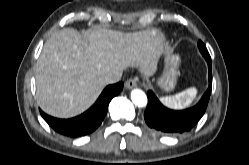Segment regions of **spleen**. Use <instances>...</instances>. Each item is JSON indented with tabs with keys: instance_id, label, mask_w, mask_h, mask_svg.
<instances>
[{
	"instance_id": "spleen-1",
	"label": "spleen",
	"mask_w": 249,
	"mask_h": 165,
	"mask_svg": "<svg viewBox=\"0 0 249 165\" xmlns=\"http://www.w3.org/2000/svg\"><path fill=\"white\" fill-rule=\"evenodd\" d=\"M196 95L197 89L192 87L174 96L162 97L160 100L169 108L183 109L191 105L192 101L196 98Z\"/></svg>"
}]
</instances>
